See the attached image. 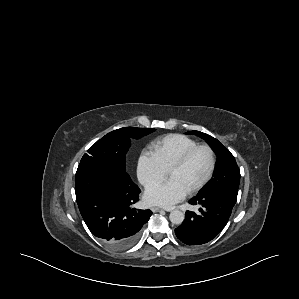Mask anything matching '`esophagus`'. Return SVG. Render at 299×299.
Returning <instances> with one entry per match:
<instances>
[{
  "instance_id": "esophagus-1",
  "label": "esophagus",
  "mask_w": 299,
  "mask_h": 299,
  "mask_svg": "<svg viewBox=\"0 0 299 299\" xmlns=\"http://www.w3.org/2000/svg\"><path fill=\"white\" fill-rule=\"evenodd\" d=\"M151 210H152V212H159V211H161L163 209L159 208V207H152Z\"/></svg>"
}]
</instances>
